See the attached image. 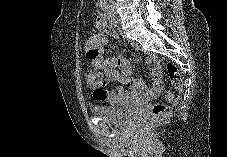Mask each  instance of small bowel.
<instances>
[{"label": "small bowel", "instance_id": "1", "mask_svg": "<svg viewBox=\"0 0 227 157\" xmlns=\"http://www.w3.org/2000/svg\"><path fill=\"white\" fill-rule=\"evenodd\" d=\"M86 53L92 66L99 73L105 76L100 90H94L95 100L106 102L113 106L126 105L135 101H145L155 98L161 87V75L157 67L152 68L151 78L153 85L148 89L142 80L131 77V66L129 62L119 57H106L108 49V38L103 32L92 35L86 42ZM150 62L154 61L152 57ZM121 69V72L118 71ZM110 81H118L129 90L118 86L113 90H107L106 85Z\"/></svg>", "mask_w": 227, "mask_h": 157}]
</instances>
